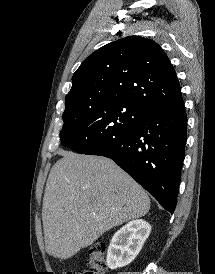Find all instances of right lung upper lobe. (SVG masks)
<instances>
[{
  "label": "right lung upper lobe",
  "mask_w": 215,
  "mask_h": 274,
  "mask_svg": "<svg viewBox=\"0 0 215 274\" xmlns=\"http://www.w3.org/2000/svg\"><path fill=\"white\" fill-rule=\"evenodd\" d=\"M175 70L152 40L129 36L87 57L72 77L66 102L120 101L143 110L182 101Z\"/></svg>",
  "instance_id": "cb5924a9"
}]
</instances>
